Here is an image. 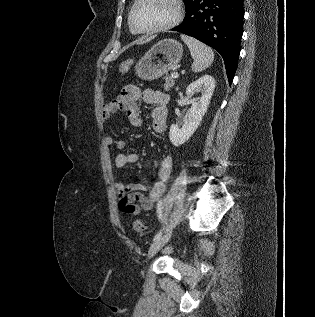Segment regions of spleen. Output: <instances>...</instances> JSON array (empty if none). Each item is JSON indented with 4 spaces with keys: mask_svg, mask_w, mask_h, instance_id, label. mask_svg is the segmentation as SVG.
Segmentation results:
<instances>
[{
    "mask_svg": "<svg viewBox=\"0 0 315 317\" xmlns=\"http://www.w3.org/2000/svg\"><path fill=\"white\" fill-rule=\"evenodd\" d=\"M181 39L188 46L194 60L191 66L193 72H202L212 64L214 52L210 47L187 35L182 34Z\"/></svg>",
    "mask_w": 315,
    "mask_h": 317,
    "instance_id": "3e777b00",
    "label": "spleen"
}]
</instances>
